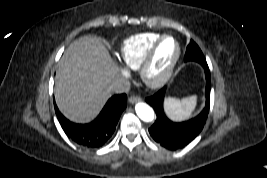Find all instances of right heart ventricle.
I'll return each instance as SVG.
<instances>
[{
    "label": "right heart ventricle",
    "instance_id": "e07e8e85",
    "mask_svg": "<svg viewBox=\"0 0 267 178\" xmlns=\"http://www.w3.org/2000/svg\"><path fill=\"white\" fill-rule=\"evenodd\" d=\"M162 36L155 32L141 33L125 39L119 47V58L131 69H138L151 46Z\"/></svg>",
    "mask_w": 267,
    "mask_h": 178
}]
</instances>
